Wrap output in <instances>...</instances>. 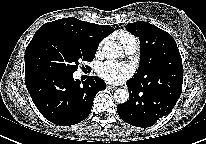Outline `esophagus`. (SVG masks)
Instances as JSON below:
<instances>
[{
    "label": "esophagus",
    "mask_w": 206,
    "mask_h": 144,
    "mask_svg": "<svg viewBox=\"0 0 206 144\" xmlns=\"http://www.w3.org/2000/svg\"><path fill=\"white\" fill-rule=\"evenodd\" d=\"M107 88L110 89V90H114V89H116V87L111 86V85H107Z\"/></svg>",
    "instance_id": "obj_1"
}]
</instances>
